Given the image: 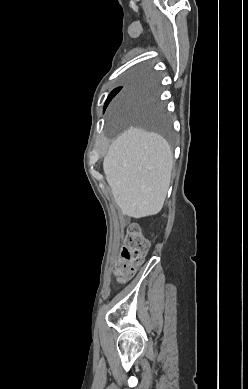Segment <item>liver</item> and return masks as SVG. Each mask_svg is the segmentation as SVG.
Returning <instances> with one entry per match:
<instances>
[{
	"instance_id": "1",
	"label": "liver",
	"mask_w": 248,
	"mask_h": 389,
	"mask_svg": "<svg viewBox=\"0 0 248 389\" xmlns=\"http://www.w3.org/2000/svg\"><path fill=\"white\" fill-rule=\"evenodd\" d=\"M172 167L173 153L168 142L157 133L135 127L112 142L103 162L116 204L124 215L133 218L162 209Z\"/></svg>"
}]
</instances>
